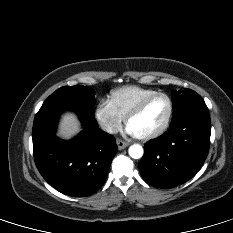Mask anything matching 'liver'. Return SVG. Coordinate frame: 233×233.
Segmentation results:
<instances>
[{"mask_svg": "<svg viewBox=\"0 0 233 233\" xmlns=\"http://www.w3.org/2000/svg\"><path fill=\"white\" fill-rule=\"evenodd\" d=\"M81 131V124L74 111H65L59 120L57 135L61 139L69 140Z\"/></svg>", "mask_w": 233, "mask_h": 233, "instance_id": "liver-1", "label": "liver"}]
</instances>
